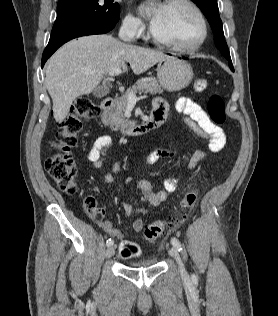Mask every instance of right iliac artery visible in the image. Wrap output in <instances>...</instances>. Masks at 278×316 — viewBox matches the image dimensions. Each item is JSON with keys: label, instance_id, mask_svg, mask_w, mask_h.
I'll return each instance as SVG.
<instances>
[{"label": "right iliac artery", "instance_id": "right-iliac-artery-1", "mask_svg": "<svg viewBox=\"0 0 278 316\" xmlns=\"http://www.w3.org/2000/svg\"><path fill=\"white\" fill-rule=\"evenodd\" d=\"M113 243H114V241L111 238L106 241L107 246H112Z\"/></svg>", "mask_w": 278, "mask_h": 316}]
</instances>
